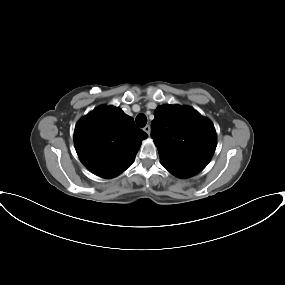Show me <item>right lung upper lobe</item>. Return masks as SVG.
<instances>
[{
    "label": "right lung upper lobe",
    "instance_id": "right-lung-upper-lobe-1",
    "mask_svg": "<svg viewBox=\"0 0 285 285\" xmlns=\"http://www.w3.org/2000/svg\"><path fill=\"white\" fill-rule=\"evenodd\" d=\"M147 137L132 117L114 106L97 107L79 120L74 131L81 162L102 178H113L125 171Z\"/></svg>",
    "mask_w": 285,
    "mask_h": 285
}]
</instances>
